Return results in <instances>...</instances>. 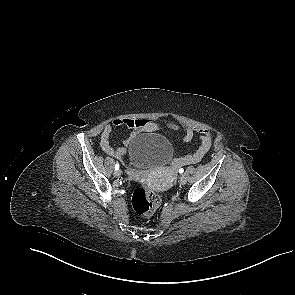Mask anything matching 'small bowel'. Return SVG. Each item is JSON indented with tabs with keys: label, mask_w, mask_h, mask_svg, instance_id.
Masks as SVG:
<instances>
[{
	"label": "small bowel",
	"mask_w": 295,
	"mask_h": 295,
	"mask_svg": "<svg viewBox=\"0 0 295 295\" xmlns=\"http://www.w3.org/2000/svg\"><path fill=\"white\" fill-rule=\"evenodd\" d=\"M114 127L128 129L129 134L123 141L124 146L114 147L110 144V136ZM166 128L168 130H182L184 132L182 137L184 142L191 141L196 132L200 133L198 149L193 153L180 157L177 160V163L180 165H190L200 162L212 146L211 134L206 129H194L192 127L178 125L174 122H167ZM159 130H161V127L151 119L116 118L112 123L104 126L100 135V146L106 154L122 159L126 155V147L132 142L138 133L155 132Z\"/></svg>",
	"instance_id": "1"
}]
</instances>
